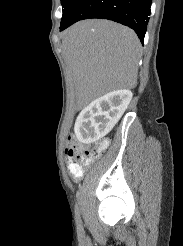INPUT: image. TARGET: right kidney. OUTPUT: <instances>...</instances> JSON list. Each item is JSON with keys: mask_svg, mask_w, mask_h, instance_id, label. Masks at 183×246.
I'll return each mask as SVG.
<instances>
[{"mask_svg": "<svg viewBox=\"0 0 183 246\" xmlns=\"http://www.w3.org/2000/svg\"><path fill=\"white\" fill-rule=\"evenodd\" d=\"M132 96L130 90H116L89 104L76 119L77 139L89 144L106 136L124 114Z\"/></svg>", "mask_w": 183, "mask_h": 246, "instance_id": "obj_1", "label": "right kidney"}]
</instances>
